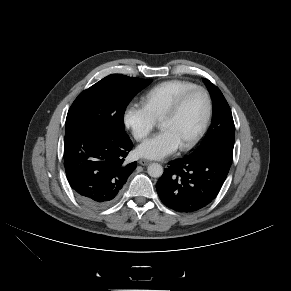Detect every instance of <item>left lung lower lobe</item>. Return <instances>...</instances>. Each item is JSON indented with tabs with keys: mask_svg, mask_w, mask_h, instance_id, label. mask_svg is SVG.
Here are the masks:
<instances>
[{
	"mask_svg": "<svg viewBox=\"0 0 291 291\" xmlns=\"http://www.w3.org/2000/svg\"><path fill=\"white\" fill-rule=\"evenodd\" d=\"M232 158L233 149L212 147L171 161L156 184L161 201L184 213L207 206L219 193Z\"/></svg>",
	"mask_w": 291,
	"mask_h": 291,
	"instance_id": "1",
	"label": "left lung lower lobe"
}]
</instances>
